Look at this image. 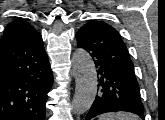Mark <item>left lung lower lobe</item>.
I'll return each mask as SVG.
<instances>
[{
	"label": "left lung lower lobe",
	"instance_id": "1",
	"mask_svg": "<svg viewBox=\"0 0 165 120\" xmlns=\"http://www.w3.org/2000/svg\"><path fill=\"white\" fill-rule=\"evenodd\" d=\"M77 46L94 59L98 91L86 120L115 111H128L143 118V105L127 48L114 30L102 22L90 21L76 33Z\"/></svg>",
	"mask_w": 165,
	"mask_h": 120
}]
</instances>
